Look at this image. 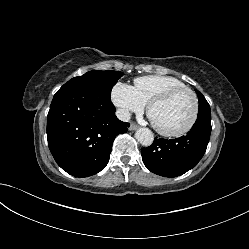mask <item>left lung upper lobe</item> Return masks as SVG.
<instances>
[{
    "label": "left lung upper lobe",
    "mask_w": 249,
    "mask_h": 249,
    "mask_svg": "<svg viewBox=\"0 0 249 249\" xmlns=\"http://www.w3.org/2000/svg\"><path fill=\"white\" fill-rule=\"evenodd\" d=\"M199 99V111L198 116H211L210 105L206 101L203 94L196 90Z\"/></svg>",
    "instance_id": "1"
}]
</instances>
